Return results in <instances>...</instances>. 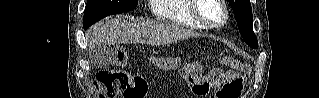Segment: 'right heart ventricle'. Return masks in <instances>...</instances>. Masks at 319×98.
Instances as JSON below:
<instances>
[{
  "label": "right heart ventricle",
  "mask_w": 319,
  "mask_h": 98,
  "mask_svg": "<svg viewBox=\"0 0 319 98\" xmlns=\"http://www.w3.org/2000/svg\"><path fill=\"white\" fill-rule=\"evenodd\" d=\"M191 0H152V12L161 21L204 30L191 13Z\"/></svg>",
  "instance_id": "1"
}]
</instances>
